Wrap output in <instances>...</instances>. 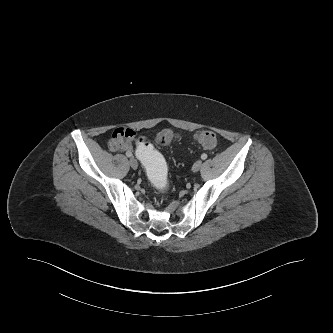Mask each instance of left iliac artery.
Wrapping results in <instances>:
<instances>
[{
	"label": "left iliac artery",
	"instance_id": "left-iliac-artery-1",
	"mask_svg": "<svg viewBox=\"0 0 333 333\" xmlns=\"http://www.w3.org/2000/svg\"><path fill=\"white\" fill-rule=\"evenodd\" d=\"M201 158H202L203 160H205V159L207 158V154H205V153L202 154V155H201Z\"/></svg>",
	"mask_w": 333,
	"mask_h": 333
}]
</instances>
